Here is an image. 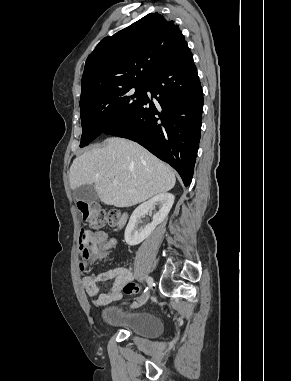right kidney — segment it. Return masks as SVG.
Masks as SVG:
<instances>
[{
    "label": "right kidney",
    "instance_id": "1",
    "mask_svg": "<svg viewBox=\"0 0 291 381\" xmlns=\"http://www.w3.org/2000/svg\"><path fill=\"white\" fill-rule=\"evenodd\" d=\"M174 199L173 194L160 193L138 206L132 213L125 230L124 238L126 243L134 246L145 240L154 231L156 226L167 217L173 206ZM156 206L159 207V210L153 215L152 222L139 228L141 217L155 209Z\"/></svg>",
    "mask_w": 291,
    "mask_h": 381
}]
</instances>
